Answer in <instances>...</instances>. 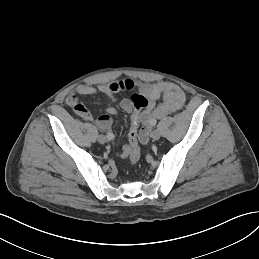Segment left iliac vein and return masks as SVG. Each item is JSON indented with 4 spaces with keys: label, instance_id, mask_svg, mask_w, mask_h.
Wrapping results in <instances>:
<instances>
[{
    "label": "left iliac vein",
    "instance_id": "obj_1",
    "mask_svg": "<svg viewBox=\"0 0 259 259\" xmlns=\"http://www.w3.org/2000/svg\"><path fill=\"white\" fill-rule=\"evenodd\" d=\"M152 139L158 140L160 138V132L159 130H154L151 134Z\"/></svg>",
    "mask_w": 259,
    "mask_h": 259
}]
</instances>
